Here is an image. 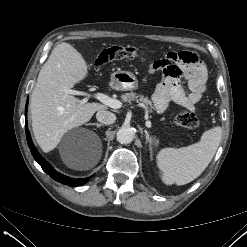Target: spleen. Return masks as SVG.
Here are the masks:
<instances>
[{
	"mask_svg": "<svg viewBox=\"0 0 247 247\" xmlns=\"http://www.w3.org/2000/svg\"><path fill=\"white\" fill-rule=\"evenodd\" d=\"M221 136L222 128L216 126L205 131L196 144L161 149L156 155V164L162 181L167 185H185L200 176L214 157Z\"/></svg>",
	"mask_w": 247,
	"mask_h": 247,
	"instance_id": "obj_1",
	"label": "spleen"
}]
</instances>
